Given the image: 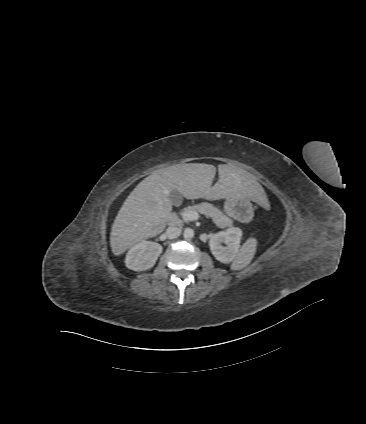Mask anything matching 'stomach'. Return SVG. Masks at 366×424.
Masks as SVG:
<instances>
[{"label":"stomach","mask_w":366,"mask_h":424,"mask_svg":"<svg viewBox=\"0 0 366 424\" xmlns=\"http://www.w3.org/2000/svg\"><path fill=\"white\" fill-rule=\"evenodd\" d=\"M242 208L248 209L250 211L252 210V205L249 198H226L224 211L228 216L238 220L241 219L239 210Z\"/></svg>","instance_id":"obj_1"}]
</instances>
